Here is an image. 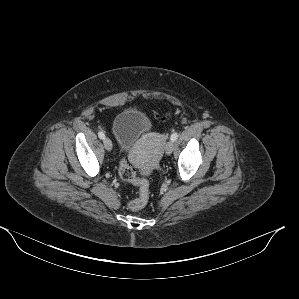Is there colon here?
<instances>
[{"label":"colon","instance_id":"1","mask_svg":"<svg viewBox=\"0 0 299 299\" xmlns=\"http://www.w3.org/2000/svg\"><path fill=\"white\" fill-rule=\"evenodd\" d=\"M119 174L124 181L136 185L139 189L138 197L128 203L129 209L132 211L142 209L147 204L149 198L148 181L137 177L134 167L125 160L120 162Z\"/></svg>","mask_w":299,"mask_h":299}]
</instances>
